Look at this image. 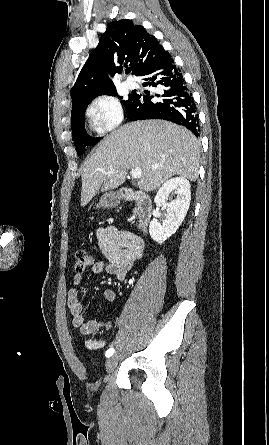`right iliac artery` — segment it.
<instances>
[{
	"instance_id": "1",
	"label": "right iliac artery",
	"mask_w": 269,
	"mask_h": 445,
	"mask_svg": "<svg viewBox=\"0 0 269 445\" xmlns=\"http://www.w3.org/2000/svg\"><path fill=\"white\" fill-rule=\"evenodd\" d=\"M114 352H115L114 348H110L106 351L105 355L106 357H110L113 355Z\"/></svg>"
}]
</instances>
